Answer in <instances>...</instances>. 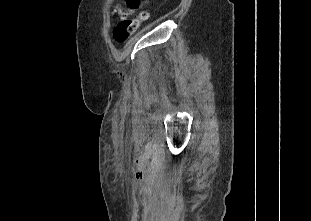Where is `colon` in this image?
Here are the masks:
<instances>
[{"instance_id":"colon-1","label":"colon","mask_w":311,"mask_h":221,"mask_svg":"<svg viewBox=\"0 0 311 221\" xmlns=\"http://www.w3.org/2000/svg\"><path fill=\"white\" fill-rule=\"evenodd\" d=\"M144 0H127V8H132L133 10L141 5ZM110 8L113 9L112 16L122 18V23H117L113 28V36L116 42L123 43L125 42L130 35L138 29V27L147 22L150 13L148 11L142 10L136 15V20L123 21V13H119L117 10V3L111 2ZM132 13H128V16Z\"/></svg>"}]
</instances>
